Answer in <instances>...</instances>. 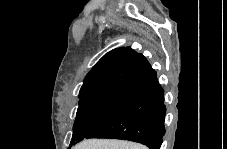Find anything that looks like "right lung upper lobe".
<instances>
[{
  "instance_id": "right-lung-upper-lobe-1",
  "label": "right lung upper lobe",
  "mask_w": 227,
  "mask_h": 149,
  "mask_svg": "<svg viewBox=\"0 0 227 149\" xmlns=\"http://www.w3.org/2000/svg\"><path fill=\"white\" fill-rule=\"evenodd\" d=\"M157 74L142 54L121 47L105 54L86 75L79 97L109 85L138 88Z\"/></svg>"
}]
</instances>
